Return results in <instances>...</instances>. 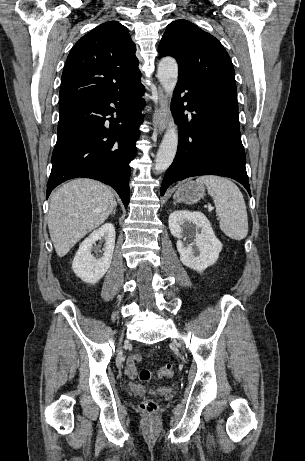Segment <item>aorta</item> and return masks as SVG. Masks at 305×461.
<instances>
[{"label": "aorta", "instance_id": "1", "mask_svg": "<svg viewBox=\"0 0 305 461\" xmlns=\"http://www.w3.org/2000/svg\"><path fill=\"white\" fill-rule=\"evenodd\" d=\"M157 77L167 96L172 97L178 80V64L172 57L161 59L158 65ZM178 146V130L173 121L162 139L155 160V171L164 172L173 162Z\"/></svg>", "mask_w": 305, "mask_h": 461}]
</instances>
